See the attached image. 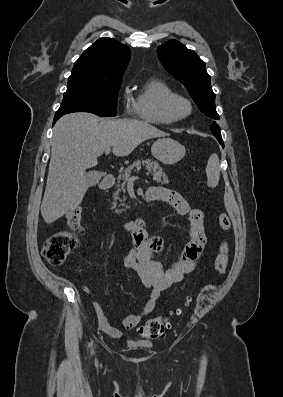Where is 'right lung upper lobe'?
<instances>
[{
	"label": "right lung upper lobe",
	"mask_w": 283,
	"mask_h": 397,
	"mask_svg": "<svg viewBox=\"0 0 283 397\" xmlns=\"http://www.w3.org/2000/svg\"><path fill=\"white\" fill-rule=\"evenodd\" d=\"M130 55L128 46L112 38H101L83 52L71 74L106 80L122 79Z\"/></svg>",
	"instance_id": "cb5924a9"
}]
</instances>
